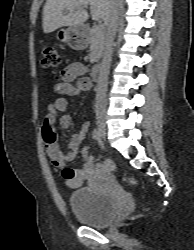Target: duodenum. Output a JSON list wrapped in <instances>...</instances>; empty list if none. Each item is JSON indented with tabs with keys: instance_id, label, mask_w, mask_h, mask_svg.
Wrapping results in <instances>:
<instances>
[{
	"instance_id": "410a0bca",
	"label": "duodenum",
	"mask_w": 194,
	"mask_h": 250,
	"mask_svg": "<svg viewBox=\"0 0 194 250\" xmlns=\"http://www.w3.org/2000/svg\"><path fill=\"white\" fill-rule=\"evenodd\" d=\"M100 77V65L95 64L92 68V78L94 81H98Z\"/></svg>"
}]
</instances>
